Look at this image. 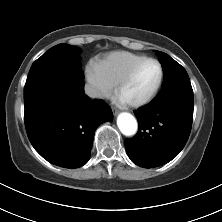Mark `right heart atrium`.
Segmentation results:
<instances>
[{"label": "right heart atrium", "instance_id": "obj_1", "mask_svg": "<svg viewBox=\"0 0 222 222\" xmlns=\"http://www.w3.org/2000/svg\"><path fill=\"white\" fill-rule=\"evenodd\" d=\"M87 80L92 88V96L97 99H107L113 93V86L100 73L98 64L90 62L86 66Z\"/></svg>", "mask_w": 222, "mask_h": 222}]
</instances>
